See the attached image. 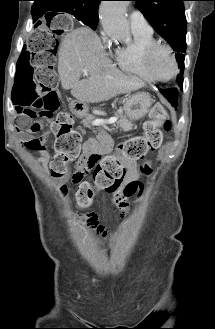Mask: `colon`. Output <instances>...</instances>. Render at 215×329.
Masks as SVG:
<instances>
[{
    "instance_id": "5ec220e1",
    "label": "colon",
    "mask_w": 215,
    "mask_h": 329,
    "mask_svg": "<svg viewBox=\"0 0 215 329\" xmlns=\"http://www.w3.org/2000/svg\"><path fill=\"white\" fill-rule=\"evenodd\" d=\"M74 31L71 14H42V19H36V25H32V31H29V40L22 55H14L15 73H33L18 74V81H13L11 87V92L16 93L11 101L16 103L18 114L27 122L20 130L37 134L40 125L31 124L30 120L54 119L51 128L56 137L55 154L49 166L51 175L57 179L65 177L69 163L78 157L82 140L81 135L71 128L70 114L57 113L58 98L55 91L58 76L54 63L57 49L61 47L58 39L64 38L66 32ZM170 126L166 108L156 103L151 108L150 119L144 124L143 135L120 144L116 154L105 157L91 154L85 157L72 176L73 182L79 183L75 194L78 206L88 208L96 190L115 192L124 187L123 161L143 159L148 151L157 149L162 142L163 131H168ZM31 144L38 148L44 147L37 138ZM141 170L149 174L152 170L150 163L145 162ZM86 176L92 178L93 184L82 181Z\"/></svg>"
}]
</instances>
